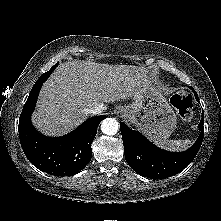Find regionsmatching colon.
Returning a JSON list of instances; mask_svg holds the SVG:
<instances>
[{"label": "colon", "instance_id": "1", "mask_svg": "<svg viewBox=\"0 0 221 221\" xmlns=\"http://www.w3.org/2000/svg\"><path fill=\"white\" fill-rule=\"evenodd\" d=\"M171 104L182 119L188 121L192 118L193 98L189 92L183 91L172 95Z\"/></svg>", "mask_w": 221, "mask_h": 221}]
</instances>
